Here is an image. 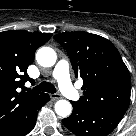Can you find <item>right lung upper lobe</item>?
Masks as SVG:
<instances>
[{"label": "right lung upper lobe", "instance_id": "1", "mask_svg": "<svg viewBox=\"0 0 136 136\" xmlns=\"http://www.w3.org/2000/svg\"><path fill=\"white\" fill-rule=\"evenodd\" d=\"M51 36L24 30L0 32V133L22 123L34 102L44 94L18 88L32 81L27 67L33 63L36 49Z\"/></svg>", "mask_w": 136, "mask_h": 136}]
</instances>
